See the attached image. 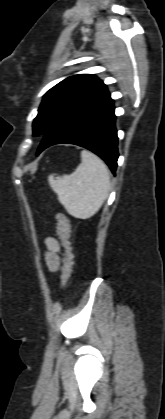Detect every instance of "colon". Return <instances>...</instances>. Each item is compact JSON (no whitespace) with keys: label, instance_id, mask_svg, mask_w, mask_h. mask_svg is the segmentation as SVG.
Returning a JSON list of instances; mask_svg holds the SVG:
<instances>
[{"label":"colon","instance_id":"5ec220e1","mask_svg":"<svg viewBox=\"0 0 165 419\" xmlns=\"http://www.w3.org/2000/svg\"><path fill=\"white\" fill-rule=\"evenodd\" d=\"M57 234L63 248V275L61 279V288L65 289L70 282L73 273V258L71 252V222L63 213H56Z\"/></svg>","mask_w":165,"mask_h":419}]
</instances>
